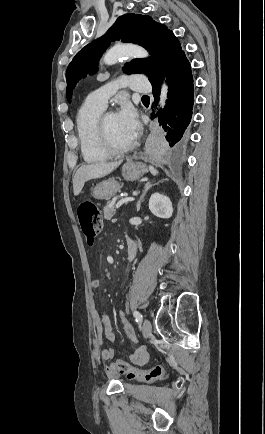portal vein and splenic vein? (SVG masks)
I'll return each mask as SVG.
<instances>
[{"instance_id": "obj_1", "label": "portal vein and splenic vein", "mask_w": 265, "mask_h": 434, "mask_svg": "<svg viewBox=\"0 0 265 434\" xmlns=\"http://www.w3.org/2000/svg\"><path fill=\"white\" fill-rule=\"evenodd\" d=\"M134 198H123V200H120V202H117L116 208H120L122 204H125V202H133Z\"/></svg>"}]
</instances>
